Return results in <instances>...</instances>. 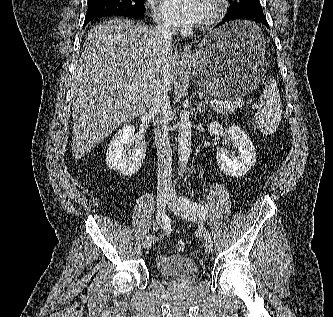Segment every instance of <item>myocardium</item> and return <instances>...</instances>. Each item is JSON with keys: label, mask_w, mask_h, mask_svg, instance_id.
Returning <instances> with one entry per match:
<instances>
[{"label": "myocardium", "mask_w": 333, "mask_h": 317, "mask_svg": "<svg viewBox=\"0 0 333 317\" xmlns=\"http://www.w3.org/2000/svg\"><path fill=\"white\" fill-rule=\"evenodd\" d=\"M210 5L208 16L197 24V29L201 31L208 30L216 25L225 16L228 4L226 0H207Z\"/></svg>", "instance_id": "myocardium-1"}]
</instances>
